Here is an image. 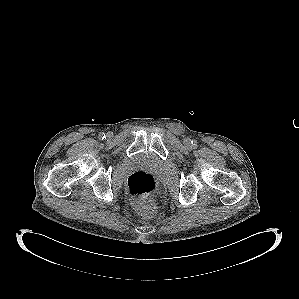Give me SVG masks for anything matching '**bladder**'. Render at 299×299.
<instances>
[{
    "label": "bladder",
    "mask_w": 299,
    "mask_h": 299,
    "mask_svg": "<svg viewBox=\"0 0 299 299\" xmlns=\"http://www.w3.org/2000/svg\"><path fill=\"white\" fill-rule=\"evenodd\" d=\"M136 164H156L157 160L150 153H139L133 157Z\"/></svg>",
    "instance_id": "bladder-1"
}]
</instances>
